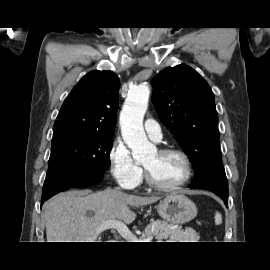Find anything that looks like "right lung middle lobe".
<instances>
[{
  "instance_id": "obj_1",
  "label": "right lung middle lobe",
  "mask_w": 270,
  "mask_h": 270,
  "mask_svg": "<svg viewBox=\"0 0 270 270\" xmlns=\"http://www.w3.org/2000/svg\"><path fill=\"white\" fill-rule=\"evenodd\" d=\"M113 134L73 130L53 132L52 151L46 176L66 169L89 176L110 166Z\"/></svg>"
}]
</instances>
